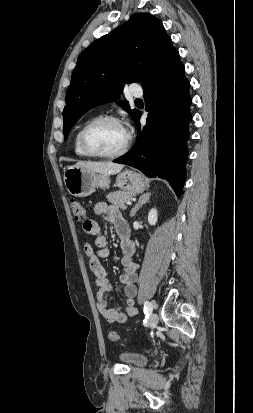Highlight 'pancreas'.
<instances>
[{"mask_svg": "<svg viewBox=\"0 0 253 413\" xmlns=\"http://www.w3.org/2000/svg\"><path fill=\"white\" fill-rule=\"evenodd\" d=\"M133 198V193L130 192H125V191H115L112 193H109L107 195V200L114 206H117L118 208L125 210L127 206L125 203L127 201H130Z\"/></svg>", "mask_w": 253, "mask_h": 413, "instance_id": "cf45deb5", "label": "pancreas"}]
</instances>
